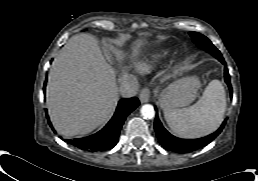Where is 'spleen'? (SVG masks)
I'll list each match as a JSON object with an SVG mask.
<instances>
[{"mask_svg": "<svg viewBox=\"0 0 258 181\" xmlns=\"http://www.w3.org/2000/svg\"><path fill=\"white\" fill-rule=\"evenodd\" d=\"M225 110L224 87L219 80H212L194 105L184 109H166L164 116L171 130L178 136L199 138L219 127Z\"/></svg>", "mask_w": 258, "mask_h": 181, "instance_id": "obj_1", "label": "spleen"}]
</instances>
